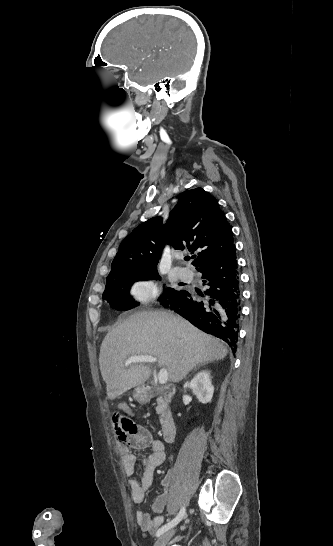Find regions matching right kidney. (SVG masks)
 Listing matches in <instances>:
<instances>
[{"label":"right kidney","instance_id":"right-kidney-1","mask_svg":"<svg viewBox=\"0 0 333 546\" xmlns=\"http://www.w3.org/2000/svg\"><path fill=\"white\" fill-rule=\"evenodd\" d=\"M190 388L201 403L206 404L210 402L214 393V387L210 379V371L203 370L199 372L191 380Z\"/></svg>","mask_w":333,"mask_h":546}]
</instances>
